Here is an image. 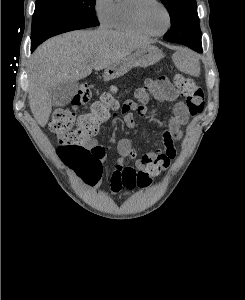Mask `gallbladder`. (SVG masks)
Returning <instances> with one entry per match:
<instances>
[{
    "mask_svg": "<svg viewBox=\"0 0 245 300\" xmlns=\"http://www.w3.org/2000/svg\"><path fill=\"white\" fill-rule=\"evenodd\" d=\"M79 83L76 80L65 81L57 84L50 91L53 106H64L76 95Z\"/></svg>",
    "mask_w": 245,
    "mask_h": 300,
    "instance_id": "obj_1",
    "label": "gallbladder"
}]
</instances>
